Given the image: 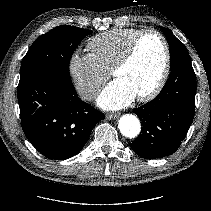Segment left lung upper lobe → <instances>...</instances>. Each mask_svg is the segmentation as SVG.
<instances>
[{
	"label": "left lung upper lobe",
	"instance_id": "1",
	"mask_svg": "<svg viewBox=\"0 0 211 211\" xmlns=\"http://www.w3.org/2000/svg\"><path fill=\"white\" fill-rule=\"evenodd\" d=\"M160 28L164 32L169 44L170 68L174 67L175 65L183 61H191L189 53L185 45L182 42H180L170 30L164 27H160Z\"/></svg>",
	"mask_w": 211,
	"mask_h": 211
}]
</instances>
